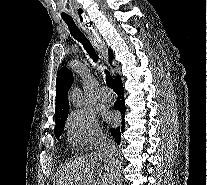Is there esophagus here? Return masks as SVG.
I'll use <instances>...</instances> for the list:
<instances>
[{
    "label": "esophagus",
    "mask_w": 207,
    "mask_h": 185,
    "mask_svg": "<svg viewBox=\"0 0 207 185\" xmlns=\"http://www.w3.org/2000/svg\"><path fill=\"white\" fill-rule=\"evenodd\" d=\"M76 14H85V9H76ZM76 20H80V22H78L79 26H81V24H87V19H85V15H76ZM88 38L99 53H105V46L95 30H89Z\"/></svg>",
    "instance_id": "esophagus-1"
}]
</instances>
